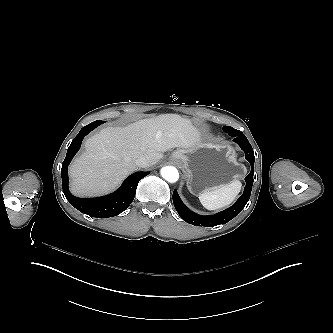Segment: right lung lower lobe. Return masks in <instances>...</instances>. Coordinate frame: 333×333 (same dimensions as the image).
<instances>
[{
  "label": "right lung lower lobe",
  "instance_id": "1",
  "mask_svg": "<svg viewBox=\"0 0 333 333\" xmlns=\"http://www.w3.org/2000/svg\"><path fill=\"white\" fill-rule=\"evenodd\" d=\"M104 122L105 121H94L80 130L78 135L72 140L67 150L61 169L63 193L66 199L72 206L82 213L97 218L113 217L123 212L133 201L138 182L149 174V172H136L126 178L122 186L117 191L103 197L82 199L73 196L69 192L67 172L68 165L74 155L78 152L83 138Z\"/></svg>",
  "mask_w": 333,
  "mask_h": 333
}]
</instances>
